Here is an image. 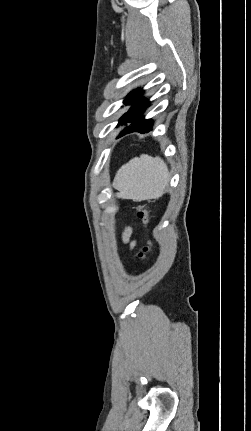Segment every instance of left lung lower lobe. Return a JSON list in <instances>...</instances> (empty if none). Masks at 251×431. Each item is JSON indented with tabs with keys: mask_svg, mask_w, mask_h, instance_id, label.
I'll return each instance as SVG.
<instances>
[{
	"mask_svg": "<svg viewBox=\"0 0 251 431\" xmlns=\"http://www.w3.org/2000/svg\"><path fill=\"white\" fill-rule=\"evenodd\" d=\"M142 95V91L138 93L136 96V99L139 100ZM148 106V101L145 100H139L122 118L121 122L119 124L123 125L128 122H133L131 126L127 127L125 130L121 132L119 135H125L130 132H148L150 131L152 121L151 120H145L144 118L135 119L138 115L142 114V112L146 109Z\"/></svg>",
	"mask_w": 251,
	"mask_h": 431,
	"instance_id": "obj_1",
	"label": "left lung lower lobe"
}]
</instances>
